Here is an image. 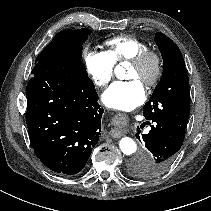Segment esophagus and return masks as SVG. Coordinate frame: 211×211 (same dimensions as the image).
Wrapping results in <instances>:
<instances>
[{
    "instance_id": "34e87169",
    "label": "esophagus",
    "mask_w": 211,
    "mask_h": 211,
    "mask_svg": "<svg viewBox=\"0 0 211 211\" xmlns=\"http://www.w3.org/2000/svg\"><path fill=\"white\" fill-rule=\"evenodd\" d=\"M120 116H123V114H120ZM121 136V134H114L113 137L114 138H119Z\"/></svg>"
}]
</instances>
